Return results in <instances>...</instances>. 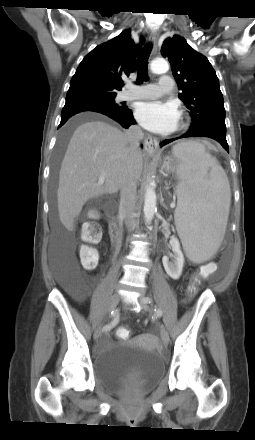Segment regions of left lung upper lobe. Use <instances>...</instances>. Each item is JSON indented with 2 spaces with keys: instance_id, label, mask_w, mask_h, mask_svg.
<instances>
[{
  "instance_id": "5c2ea615",
  "label": "left lung upper lobe",
  "mask_w": 255,
  "mask_h": 440,
  "mask_svg": "<svg viewBox=\"0 0 255 440\" xmlns=\"http://www.w3.org/2000/svg\"><path fill=\"white\" fill-rule=\"evenodd\" d=\"M161 53L168 57L173 76L182 91L178 96L190 110V128L218 126L226 129L223 95L208 59L179 35L165 39Z\"/></svg>"
}]
</instances>
